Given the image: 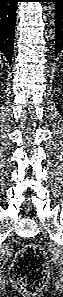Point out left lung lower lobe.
Here are the masks:
<instances>
[{
    "label": "left lung lower lobe",
    "instance_id": "0a47b994",
    "mask_svg": "<svg viewBox=\"0 0 63 297\" xmlns=\"http://www.w3.org/2000/svg\"><path fill=\"white\" fill-rule=\"evenodd\" d=\"M56 2L55 9V56L63 50V0H46Z\"/></svg>",
    "mask_w": 63,
    "mask_h": 297
}]
</instances>
